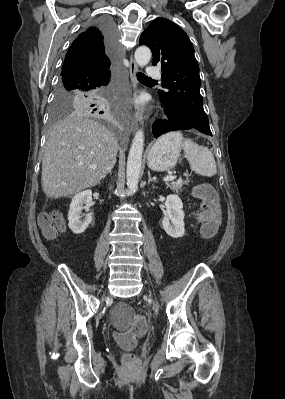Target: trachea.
I'll use <instances>...</instances> for the list:
<instances>
[{
	"instance_id": "1",
	"label": "trachea",
	"mask_w": 285,
	"mask_h": 399,
	"mask_svg": "<svg viewBox=\"0 0 285 399\" xmlns=\"http://www.w3.org/2000/svg\"><path fill=\"white\" fill-rule=\"evenodd\" d=\"M137 79L139 81H150V82H156L155 80L148 78L146 75H144L143 73H138L137 74Z\"/></svg>"
}]
</instances>
